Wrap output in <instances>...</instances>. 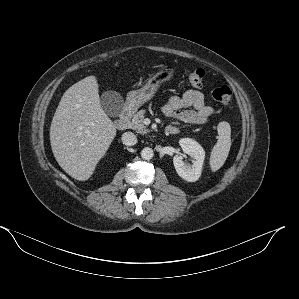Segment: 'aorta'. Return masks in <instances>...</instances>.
I'll return each mask as SVG.
<instances>
[{
	"label": "aorta",
	"instance_id": "762f6f07",
	"mask_svg": "<svg viewBox=\"0 0 299 299\" xmlns=\"http://www.w3.org/2000/svg\"><path fill=\"white\" fill-rule=\"evenodd\" d=\"M154 156V152L151 148L149 147H145L142 149L141 151V157L144 159V160H150L152 159Z\"/></svg>",
	"mask_w": 299,
	"mask_h": 299
}]
</instances>
